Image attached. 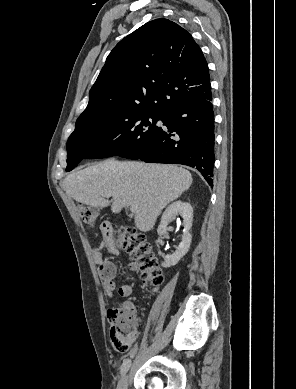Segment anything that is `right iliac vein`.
<instances>
[{
  "label": "right iliac vein",
  "mask_w": 296,
  "mask_h": 389,
  "mask_svg": "<svg viewBox=\"0 0 296 389\" xmlns=\"http://www.w3.org/2000/svg\"><path fill=\"white\" fill-rule=\"evenodd\" d=\"M128 375L125 374L123 375V377L121 378V380L119 381L118 383V388L117 389H127V386H128Z\"/></svg>",
  "instance_id": "63e3f726"
}]
</instances>
